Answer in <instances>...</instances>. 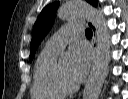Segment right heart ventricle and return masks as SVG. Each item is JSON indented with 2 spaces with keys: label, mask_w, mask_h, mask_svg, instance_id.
Segmentation results:
<instances>
[{
  "label": "right heart ventricle",
  "mask_w": 128,
  "mask_h": 99,
  "mask_svg": "<svg viewBox=\"0 0 128 99\" xmlns=\"http://www.w3.org/2000/svg\"><path fill=\"white\" fill-rule=\"evenodd\" d=\"M58 53L46 46L39 53L34 65L31 86L33 99H60L65 95L54 82V69Z\"/></svg>",
  "instance_id": "right-heart-ventricle-1"
}]
</instances>
